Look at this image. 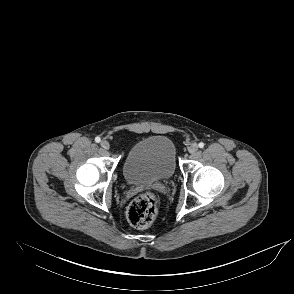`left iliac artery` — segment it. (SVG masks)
I'll return each instance as SVG.
<instances>
[{
    "instance_id": "44dca946",
    "label": "left iliac artery",
    "mask_w": 294,
    "mask_h": 294,
    "mask_svg": "<svg viewBox=\"0 0 294 294\" xmlns=\"http://www.w3.org/2000/svg\"><path fill=\"white\" fill-rule=\"evenodd\" d=\"M204 145H205V144H204L203 142H200L198 146H199V148H203Z\"/></svg>"
}]
</instances>
